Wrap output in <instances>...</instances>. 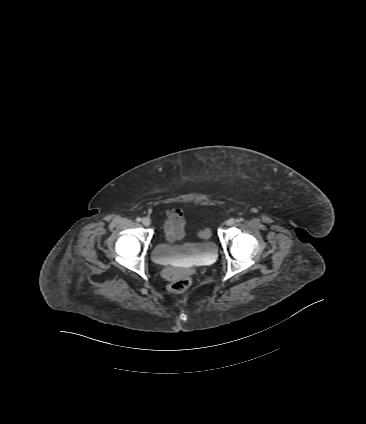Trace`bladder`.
Listing matches in <instances>:
<instances>
[{
  "mask_svg": "<svg viewBox=\"0 0 366 424\" xmlns=\"http://www.w3.org/2000/svg\"><path fill=\"white\" fill-rule=\"evenodd\" d=\"M217 246L211 241L187 242L182 245H171L158 242L154 245L151 256L158 264H169L176 260L191 259L202 262L217 256Z\"/></svg>",
  "mask_w": 366,
  "mask_h": 424,
  "instance_id": "31cf9c89",
  "label": "bladder"
}]
</instances>
